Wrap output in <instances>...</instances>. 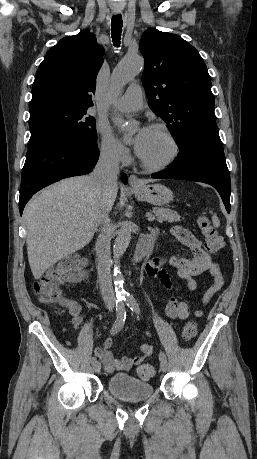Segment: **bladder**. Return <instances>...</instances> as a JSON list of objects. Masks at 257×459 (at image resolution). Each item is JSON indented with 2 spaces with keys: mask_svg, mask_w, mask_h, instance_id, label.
<instances>
[{
  "mask_svg": "<svg viewBox=\"0 0 257 459\" xmlns=\"http://www.w3.org/2000/svg\"><path fill=\"white\" fill-rule=\"evenodd\" d=\"M107 389L110 394L123 401H143L154 393L152 385L127 373L112 375L108 380Z\"/></svg>",
  "mask_w": 257,
  "mask_h": 459,
  "instance_id": "obj_1",
  "label": "bladder"
}]
</instances>
